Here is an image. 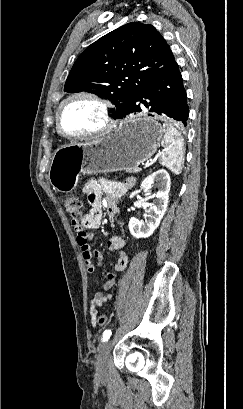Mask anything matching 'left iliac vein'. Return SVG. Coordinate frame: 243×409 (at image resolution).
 Here are the masks:
<instances>
[{"label": "left iliac vein", "instance_id": "4c4485c4", "mask_svg": "<svg viewBox=\"0 0 243 409\" xmlns=\"http://www.w3.org/2000/svg\"><path fill=\"white\" fill-rule=\"evenodd\" d=\"M111 350V341L106 342L97 357L96 361V375L99 379H103L108 373V359Z\"/></svg>", "mask_w": 243, "mask_h": 409}]
</instances>
